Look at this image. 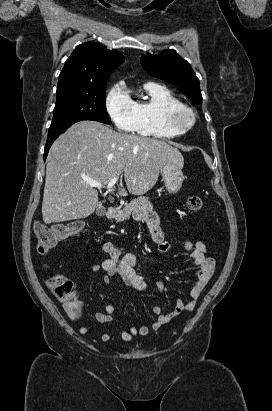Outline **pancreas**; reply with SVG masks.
<instances>
[{
	"mask_svg": "<svg viewBox=\"0 0 272 411\" xmlns=\"http://www.w3.org/2000/svg\"><path fill=\"white\" fill-rule=\"evenodd\" d=\"M152 209L153 205L149 201L148 197H138L137 199L132 200L129 204H126L123 210L117 217V221L121 222L130 218V215L143 209Z\"/></svg>",
	"mask_w": 272,
	"mask_h": 411,
	"instance_id": "pancreas-1",
	"label": "pancreas"
}]
</instances>
